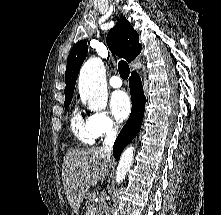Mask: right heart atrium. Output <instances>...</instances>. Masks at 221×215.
<instances>
[{
  "mask_svg": "<svg viewBox=\"0 0 221 215\" xmlns=\"http://www.w3.org/2000/svg\"><path fill=\"white\" fill-rule=\"evenodd\" d=\"M87 126L95 139L111 137L118 132V124L105 111H95L87 119Z\"/></svg>",
  "mask_w": 221,
  "mask_h": 215,
  "instance_id": "right-heart-atrium-1",
  "label": "right heart atrium"
}]
</instances>
